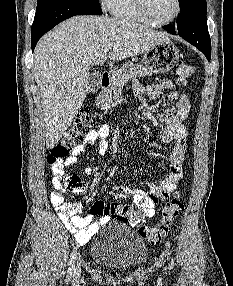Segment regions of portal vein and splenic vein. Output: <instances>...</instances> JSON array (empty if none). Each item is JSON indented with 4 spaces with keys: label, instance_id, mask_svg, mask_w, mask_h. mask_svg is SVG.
<instances>
[{
    "label": "portal vein and splenic vein",
    "instance_id": "obj_1",
    "mask_svg": "<svg viewBox=\"0 0 233 286\" xmlns=\"http://www.w3.org/2000/svg\"><path fill=\"white\" fill-rule=\"evenodd\" d=\"M110 49H111V46H106L103 51L104 53H107Z\"/></svg>",
    "mask_w": 233,
    "mask_h": 286
}]
</instances>
